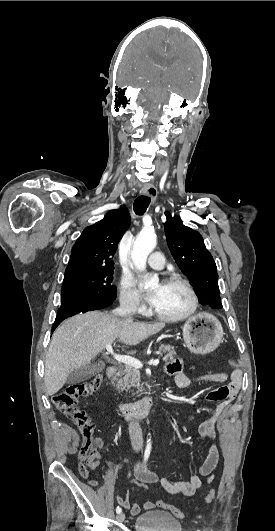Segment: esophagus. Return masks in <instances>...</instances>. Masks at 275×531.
<instances>
[{
	"label": "esophagus",
	"mask_w": 275,
	"mask_h": 531,
	"mask_svg": "<svg viewBox=\"0 0 275 531\" xmlns=\"http://www.w3.org/2000/svg\"><path fill=\"white\" fill-rule=\"evenodd\" d=\"M141 194H143L144 196H149L152 202L154 203L156 201L158 191H157V188H155V186L151 184H144L141 190Z\"/></svg>",
	"instance_id": "1"
}]
</instances>
